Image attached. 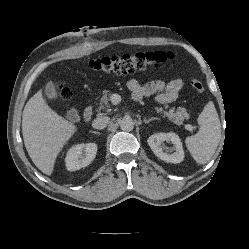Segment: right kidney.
<instances>
[{
	"label": "right kidney",
	"instance_id": "1",
	"mask_svg": "<svg viewBox=\"0 0 249 249\" xmlns=\"http://www.w3.org/2000/svg\"><path fill=\"white\" fill-rule=\"evenodd\" d=\"M97 144H77L67 152L65 162L68 171H76L88 166L95 158Z\"/></svg>",
	"mask_w": 249,
	"mask_h": 249
}]
</instances>
